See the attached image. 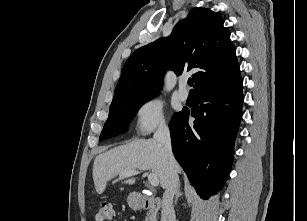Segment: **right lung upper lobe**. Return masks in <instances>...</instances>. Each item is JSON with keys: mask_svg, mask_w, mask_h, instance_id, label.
Segmentation results:
<instances>
[{"mask_svg": "<svg viewBox=\"0 0 307 221\" xmlns=\"http://www.w3.org/2000/svg\"><path fill=\"white\" fill-rule=\"evenodd\" d=\"M224 20L207 8H194L168 38L137 49L124 64L112 103L142 93H158L166 69L195 71V95L241 79L235 47Z\"/></svg>", "mask_w": 307, "mask_h": 221, "instance_id": "cb5924a9", "label": "right lung upper lobe"}]
</instances>
